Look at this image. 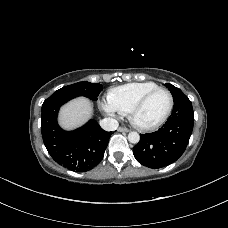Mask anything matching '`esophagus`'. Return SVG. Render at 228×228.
Listing matches in <instances>:
<instances>
[{
    "instance_id": "esophagus-1",
    "label": "esophagus",
    "mask_w": 228,
    "mask_h": 228,
    "mask_svg": "<svg viewBox=\"0 0 228 228\" xmlns=\"http://www.w3.org/2000/svg\"><path fill=\"white\" fill-rule=\"evenodd\" d=\"M118 131H119V132H125V133H127V132H129V129H127V128H125V127H119V128H118Z\"/></svg>"
}]
</instances>
